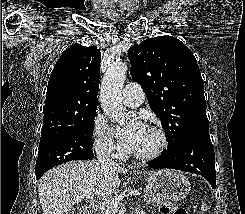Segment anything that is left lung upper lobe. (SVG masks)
Here are the masks:
<instances>
[{
  "mask_svg": "<svg viewBox=\"0 0 245 214\" xmlns=\"http://www.w3.org/2000/svg\"><path fill=\"white\" fill-rule=\"evenodd\" d=\"M131 75L161 120L167 150L197 133H209L204 83L193 53L170 36L148 38L129 50Z\"/></svg>",
  "mask_w": 245,
  "mask_h": 214,
  "instance_id": "obj_1",
  "label": "left lung upper lobe"
}]
</instances>
